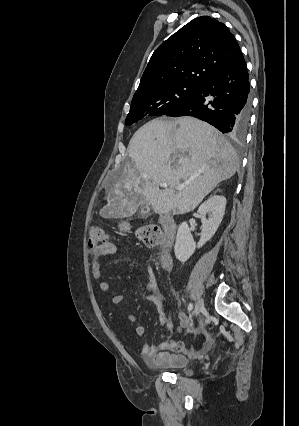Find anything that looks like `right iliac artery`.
I'll return each mask as SVG.
<instances>
[{"label":"right iliac artery","mask_w":299,"mask_h":426,"mask_svg":"<svg viewBox=\"0 0 299 426\" xmlns=\"http://www.w3.org/2000/svg\"><path fill=\"white\" fill-rule=\"evenodd\" d=\"M192 308H193V304H192V303H190V304L188 305V311H191V310H192Z\"/></svg>","instance_id":"right-iliac-artery-1"}]
</instances>
